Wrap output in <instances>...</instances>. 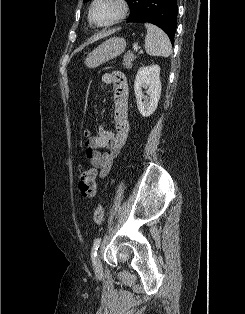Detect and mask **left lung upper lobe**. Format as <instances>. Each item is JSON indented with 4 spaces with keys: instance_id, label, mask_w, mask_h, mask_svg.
<instances>
[{
    "instance_id": "1",
    "label": "left lung upper lobe",
    "mask_w": 245,
    "mask_h": 314,
    "mask_svg": "<svg viewBox=\"0 0 245 314\" xmlns=\"http://www.w3.org/2000/svg\"><path fill=\"white\" fill-rule=\"evenodd\" d=\"M88 1L90 0H84L83 2L86 3ZM126 1L130 7V16H134L135 14H137L141 9V4L143 0H126Z\"/></svg>"
}]
</instances>
